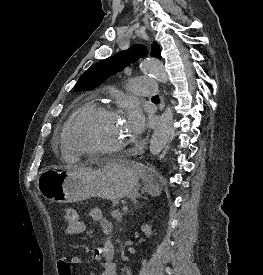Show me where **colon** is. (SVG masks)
<instances>
[{"instance_id":"5ec220e1","label":"colon","mask_w":263,"mask_h":275,"mask_svg":"<svg viewBox=\"0 0 263 275\" xmlns=\"http://www.w3.org/2000/svg\"><path fill=\"white\" fill-rule=\"evenodd\" d=\"M63 216L68 223H73L78 220V214L74 208H65ZM58 267L60 275H71V263L66 259H60L58 261Z\"/></svg>"}]
</instances>
